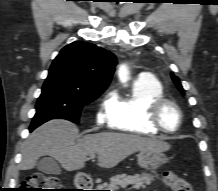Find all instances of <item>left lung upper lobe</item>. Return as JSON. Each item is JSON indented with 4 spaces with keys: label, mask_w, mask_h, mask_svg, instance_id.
Segmentation results:
<instances>
[{
    "label": "left lung upper lobe",
    "mask_w": 218,
    "mask_h": 191,
    "mask_svg": "<svg viewBox=\"0 0 218 191\" xmlns=\"http://www.w3.org/2000/svg\"><path fill=\"white\" fill-rule=\"evenodd\" d=\"M172 79H173L174 83L176 84V86L178 87V89H179L182 93H184V89H183L181 83L179 82V78L172 74Z\"/></svg>",
    "instance_id": "left-lung-upper-lobe-1"
}]
</instances>
